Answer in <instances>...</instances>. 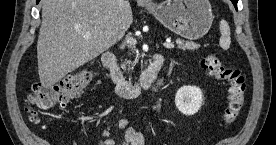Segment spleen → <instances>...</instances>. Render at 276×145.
Wrapping results in <instances>:
<instances>
[{
	"label": "spleen",
	"mask_w": 276,
	"mask_h": 145,
	"mask_svg": "<svg viewBox=\"0 0 276 145\" xmlns=\"http://www.w3.org/2000/svg\"><path fill=\"white\" fill-rule=\"evenodd\" d=\"M219 27L221 33V37L219 40L220 47L224 50H227L229 49L231 43L229 24L227 23V21L221 20Z\"/></svg>",
	"instance_id": "obj_1"
}]
</instances>
